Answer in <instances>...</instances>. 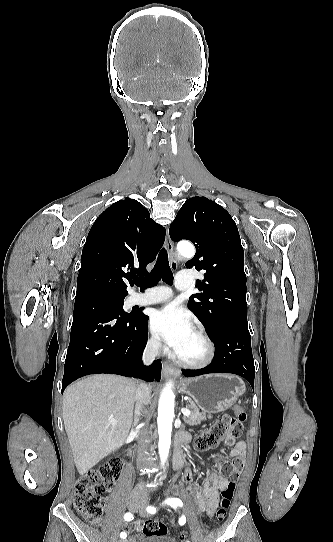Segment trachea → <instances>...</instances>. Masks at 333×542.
I'll return each instance as SVG.
<instances>
[{"instance_id":"1","label":"trachea","mask_w":333,"mask_h":542,"mask_svg":"<svg viewBox=\"0 0 333 542\" xmlns=\"http://www.w3.org/2000/svg\"><path fill=\"white\" fill-rule=\"evenodd\" d=\"M161 279L166 282V284H172L173 282V274L169 266L167 252L165 249L160 251L156 265L151 270L150 274L146 277L135 279L134 283L138 287L145 289L147 287H153Z\"/></svg>"}]
</instances>
